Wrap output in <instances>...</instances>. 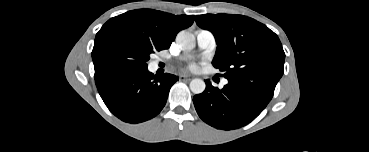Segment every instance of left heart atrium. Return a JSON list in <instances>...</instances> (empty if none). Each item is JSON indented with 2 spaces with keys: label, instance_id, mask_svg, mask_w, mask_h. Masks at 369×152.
Wrapping results in <instances>:
<instances>
[{
  "label": "left heart atrium",
  "instance_id": "left-heart-atrium-1",
  "mask_svg": "<svg viewBox=\"0 0 369 152\" xmlns=\"http://www.w3.org/2000/svg\"><path fill=\"white\" fill-rule=\"evenodd\" d=\"M189 67H190L191 70H196V68H197L196 64H194V63L191 64Z\"/></svg>",
  "mask_w": 369,
  "mask_h": 152
}]
</instances>
